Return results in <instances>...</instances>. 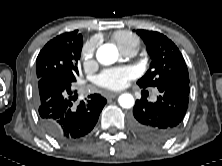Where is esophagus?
Instances as JSON below:
<instances>
[{
	"instance_id": "obj_1",
	"label": "esophagus",
	"mask_w": 222,
	"mask_h": 166,
	"mask_svg": "<svg viewBox=\"0 0 222 166\" xmlns=\"http://www.w3.org/2000/svg\"><path fill=\"white\" fill-rule=\"evenodd\" d=\"M120 93H121V92L109 93V94H107V97H108V98H114V97L118 96Z\"/></svg>"
}]
</instances>
